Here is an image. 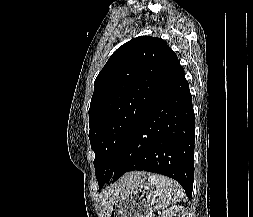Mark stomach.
Wrapping results in <instances>:
<instances>
[{"mask_svg": "<svg viewBox=\"0 0 253 217\" xmlns=\"http://www.w3.org/2000/svg\"><path fill=\"white\" fill-rule=\"evenodd\" d=\"M155 204L151 184L143 181L114 200L107 217H152Z\"/></svg>", "mask_w": 253, "mask_h": 217, "instance_id": "0dacf381", "label": "stomach"}]
</instances>
